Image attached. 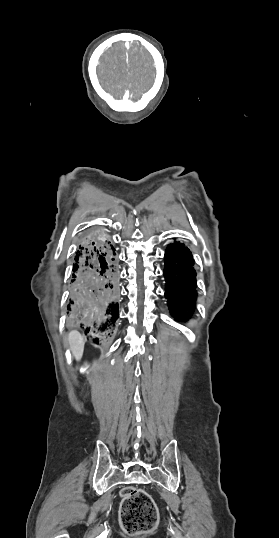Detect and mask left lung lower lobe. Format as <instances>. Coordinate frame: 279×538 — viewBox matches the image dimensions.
<instances>
[{
	"mask_svg": "<svg viewBox=\"0 0 279 538\" xmlns=\"http://www.w3.org/2000/svg\"><path fill=\"white\" fill-rule=\"evenodd\" d=\"M165 298L171 315L186 321L194 311L196 298V273L192 255L184 244H169L165 253Z\"/></svg>",
	"mask_w": 279,
	"mask_h": 538,
	"instance_id": "left-lung-lower-lobe-1",
	"label": "left lung lower lobe"
}]
</instances>
